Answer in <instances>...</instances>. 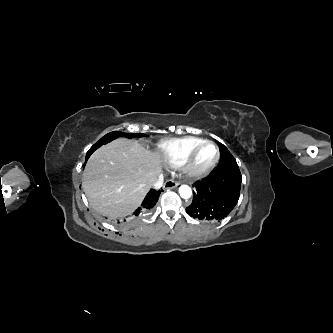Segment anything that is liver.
<instances>
[{"label":"liver","mask_w":333,"mask_h":333,"mask_svg":"<svg viewBox=\"0 0 333 333\" xmlns=\"http://www.w3.org/2000/svg\"><path fill=\"white\" fill-rule=\"evenodd\" d=\"M162 171L158 154L119 138L89 158L82 187L92 208L111 218L124 217L142 202Z\"/></svg>","instance_id":"liver-1"}]
</instances>
